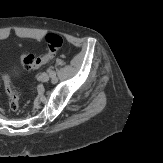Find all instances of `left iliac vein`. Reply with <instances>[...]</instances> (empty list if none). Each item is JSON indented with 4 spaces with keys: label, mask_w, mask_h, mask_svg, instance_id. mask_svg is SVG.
<instances>
[{
    "label": "left iliac vein",
    "mask_w": 163,
    "mask_h": 163,
    "mask_svg": "<svg viewBox=\"0 0 163 163\" xmlns=\"http://www.w3.org/2000/svg\"><path fill=\"white\" fill-rule=\"evenodd\" d=\"M49 74L48 73H46V72H43L41 75H40V77H39V79L42 81V82H48L49 81Z\"/></svg>",
    "instance_id": "4c4485c4"
}]
</instances>
